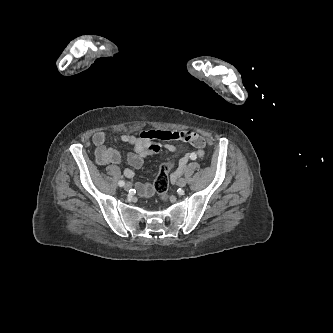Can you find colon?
<instances>
[{"label":"colon","instance_id":"colon-1","mask_svg":"<svg viewBox=\"0 0 333 333\" xmlns=\"http://www.w3.org/2000/svg\"><path fill=\"white\" fill-rule=\"evenodd\" d=\"M174 161L172 159L166 160L161 163L159 167V172L154 180V190L162 201H167L169 198L168 195V186H169V172L173 168Z\"/></svg>","mask_w":333,"mask_h":333}]
</instances>
